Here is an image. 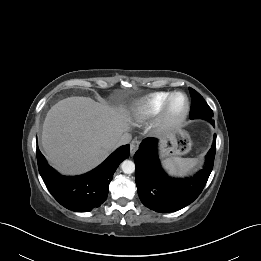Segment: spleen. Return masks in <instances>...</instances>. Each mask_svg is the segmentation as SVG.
<instances>
[{
    "label": "spleen",
    "mask_w": 261,
    "mask_h": 261,
    "mask_svg": "<svg viewBox=\"0 0 261 261\" xmlns=\"http://www.w3.org/2000/svg\"><path fill=\"white\" fill-rule=\"evenodd\" d=\"M197 163L195 158L171 157L163 161L164 168L171 175H184Z\"/></svg>",
    "instance_id": "obj_1"
}]
</instances>
